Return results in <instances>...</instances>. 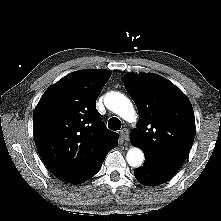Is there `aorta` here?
Segmentation results:
<instances>
[{"label": "aorta", "instance_id": "1", "mask_svg": "<svg viewBox=\"0 0 221 221\" xmlns=\"http://www.w3.org/2000/svg\"><path fill=\"white\" fill-rule=\"evenodd\" d=\"M105 106L126 121L133 122L136 112L131 101L123 94L115 91L108 92L104 97ZM128 164L132 167H140L144 161V154L138 147L129 149L126 155Z\"/></svg>", "mask_w": 221, "mask_h": 221}]
</instances>
